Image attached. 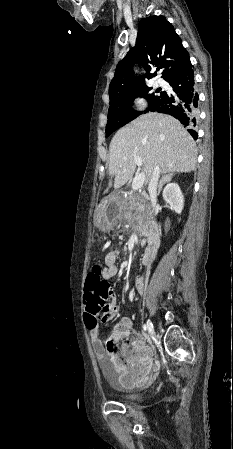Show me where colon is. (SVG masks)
<instances>
[{
	"label": "colon",
	"instance_id": "5ec220e1",
	"mask_svg": "<svg viewBox=\"0 0 233 449\" xmlns=\"http://www.w3.org/2000/svg\"><path fill=\"white\" fill-rule=\"evenodd\" d=\"M107 287L110 286L102 277V267L100 265L94 266L85 278L84 297L87 301L84 303L83 318L87 328L99 327L101 316L105 314L103 304L110 300L103 295ZM133 343L134 337L130 327L120 325L108 343L107 350L111 355H116L119 346H121V349L128 348Z\"/></svg>",
	"mask_w": 233,
	"mask_h": 449
}]
</instances>
